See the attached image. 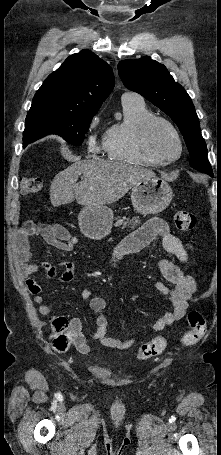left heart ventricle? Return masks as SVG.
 Here are the masks:
<instances>
[{"instance_id":"left-heart-ventricle-1","label":"left heart ventricle","mask_w":221,"mask_h":455,"mask_svg":"<svg viewBox=\"0 0 221 455\" xmlns=\"http://www.w3.org/2000/svg\"><path fill=\"white\" fill-rule=\"evenodd\" d=\"M151 144L162 156L173 158L178 153V144L172 132L163 124H157L151 133Z\"/></svg>"}]
</instances>
